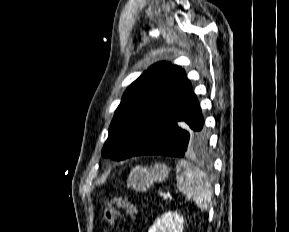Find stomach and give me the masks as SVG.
<instances>
[{
    "label": "stomach",
    "mask_w": 289,
    "mask_h": 232,
    "mask_svg": "<svg viewBox=\"0 0 289 232\" xmlns=\"http://www.w3.org/2000/svg\"><path fill=\"white\" fill-rule=\"evenodd\" d=\"M169 172V167L162 163H156L151 167L136 166L131 170L128 182L134 190L146 191L155 182L164 181Z\"/></svg>",
    "instance_id": "0dacf381"
}]
</instances>
